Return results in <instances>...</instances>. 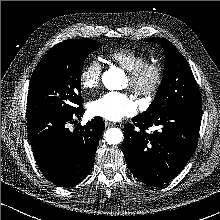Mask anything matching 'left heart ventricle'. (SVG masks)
Wrapping results in <instances>:
<instances>
[{
	"instance_id": "1",
	"label": "left heart ventricle",
	"mask_w": 220,
	"mask_h": 220,
	"mask_svg": "<svg viewBox=\"0 0 220 220\" xmlns=\"http://www.w3.org/2000/svg\"><path fill=\"white\" fill-rule=\"evenodd\" d=\"M127 85H130L129 79H127Z\"/></svg>"
}]
</instances>
